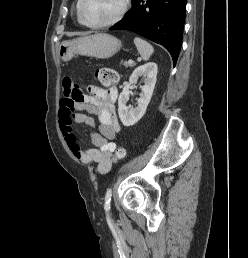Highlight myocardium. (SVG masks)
<instances>
[{
    "instance_id": "myocardium-1",
    "label": "myocardium",
    "mask_w": 248,
    "mask_h": 258,
    "mask_svg": "<svg viewBox=\"0 0 248 258\" xmlns=\"http://www.w3.org/2000/svg\"><path fill=\"white\" fill-rule=\"evenodd\" d=\"M83 2L84 0H78V7H77L78 15L82 23L90 28H103V27H108L118 23L124 17L128 8V0H121L120 9L115 16L101 23H91L86 19V17L83 14V10H82Z\"/></svg>"
}]
</instances>
